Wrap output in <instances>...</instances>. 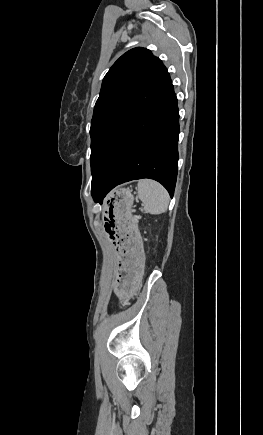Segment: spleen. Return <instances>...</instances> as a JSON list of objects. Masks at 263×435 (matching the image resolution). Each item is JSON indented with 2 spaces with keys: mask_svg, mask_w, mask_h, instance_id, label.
<instances>
[{
  "mask_svg": "<svg viewBox=\"0 0 263 435\" xmlns=\"http://www.w3.org/2000/svg\"><path fill=\"white\" fill-rule=\"evenodd\" d=\"M138 197L143 202L144 211L150 214H161L167 210L169 194L158 182L143 179L138 182Z\"/></svg>",
  "mask_w": 263,
  "mask_h": 435,
  "instance_id": "1",
  "label": "spleen"
}]
</instances>
